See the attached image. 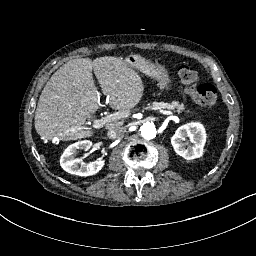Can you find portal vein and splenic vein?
<instances>
[{"instance_id":"1","label":"portal vein and splenic vein","mask_w":256,"mask_h":256,"mask_svg":"<svg viewBox=\"0 0 256 256\" xmlns=\"http://www.w3.org/2000/svg\"><path fill=\"white\" fill-rule=\"evenodd\" d=\"M160 111L163 112L166 115H170V117H176L173 115V113L171 111H167L166 107H160ZM132 114V111L127 112V115ZM125 117V113L120 112V113H113L109 116H106L105 118L102 119H94L92 121L91 127L94 129H100L102 128L103 125H105L108 121L111 120H118V119H122ZM80 129H83V127H81Z\"/></svg>"}]
</instances>
